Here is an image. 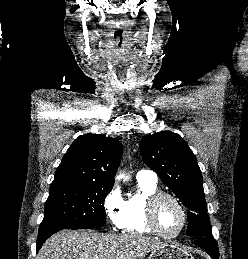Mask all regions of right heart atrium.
Here are the masks:
<instances>
[{"label": "right heart atrium", "mask_w": 248, "mask_h": 259, "mask_svg": "<svg viewBox=\"0 0 248 259\" xmlns=\"http://www.w3.org/2000/svg\"><path fill=\"white\" fill-rule=\"evenodd\" d=\"M103 205L111 224L117 228H121L125 200L122 196L120 187L117 184L113 185L107 193Z\"/></svg>", "instance_id": "1"}]
</instances>
